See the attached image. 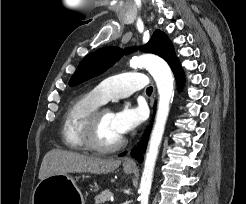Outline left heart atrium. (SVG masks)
<instances>
[{
  "instance_id": "39dd6f15",
  "label": "left heart atrium",
  "mask_w": 246,
  "mask_h": 204,
  "mask_svg": "<svg viewBox=\"0 0 246 204\" xmlns=\"http://www.w3.org/2000/svg\"><path fill=\"white\" fill-rule=\"evenodd\" d=\"M145 119L142 107L125 106L113 114V121L118 132L123 136L137 128Z\"/></svg>"
}]
</instances>
